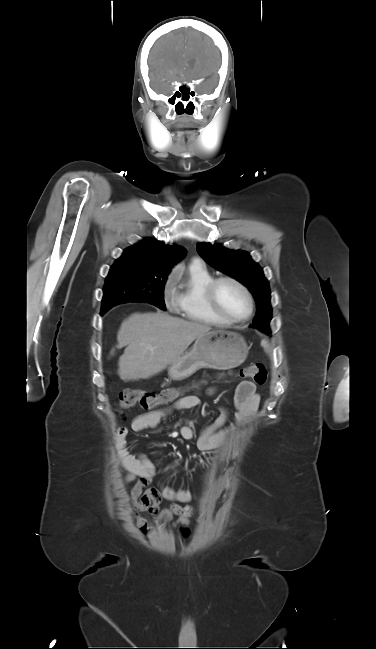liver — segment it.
<instances>
[{
  "instance_id": "1",
  "label": "liver",
  "mask_w": 376,
  "mask_h": 649,
  "mask_svg": "<svg viewBox=\"0 0 376 649\" xmlns=\"http://www.w3.org/2000/svg\"><path fill=\"white\" fill-rule=\"evenodd\" d=\"M210 330L208 325L160 311L130 315L117 333V348L126 346L118 362L119 377L128 382L161 372L183 355L198 336Z\"/></svg>"
}]
</instances>
